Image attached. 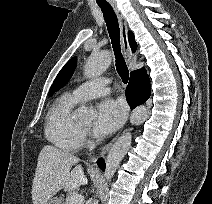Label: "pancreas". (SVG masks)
Listing matches in <instances>:
<instances>
[{"instance_id":"pancreas-1","label":"pancreas","mask_w":212,"mask_h":204,"mask_svg":"<svg viewBox=\"0 0 212 204\" xmlns=\"http://www.w3.org/2000/svg\"><path fill=\"white\" fill-rule=\"evenodd\" d=\"M70 198H71V196L66 197L65 201L63 202V204H70Z\"/></svg>"}]
</instances>
